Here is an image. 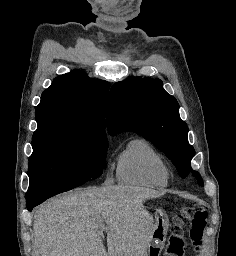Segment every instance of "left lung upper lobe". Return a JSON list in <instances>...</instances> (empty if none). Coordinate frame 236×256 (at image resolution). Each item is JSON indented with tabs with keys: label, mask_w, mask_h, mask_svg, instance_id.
I'll return each mask as SVG.
<instances>
[{
	"label": "left lung upper lobe",
	"mask_w": 236,
	"mask_h": 256,
	"mask_svg": "<svg viewBox=\"0 0 236 256\" xmlns=\"http://www.w3.org/2000/svg\"><path fill=\"white\" fill-rule=\"evenodd\" d=\"M161 80L132 77L115 83L107 104L110 135L132 131L151 141L173 162L185 178L191 169L194 148L188 143V127L179 116L177 100L163 89ZM198 184L203 180L197 173Z\"/></svg>",
	"instance_id": "left-lung-upper-lobe-1"
}]
</instances>
